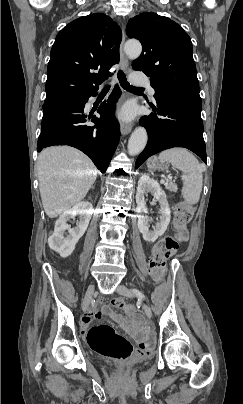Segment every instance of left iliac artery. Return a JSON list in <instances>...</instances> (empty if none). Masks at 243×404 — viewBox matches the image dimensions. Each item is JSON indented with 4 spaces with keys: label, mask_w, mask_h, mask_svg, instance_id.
I'll return each mask as SVG.
<instances>
[{
    "label": "left iliac artery",
    "mask_w": 243,
    "mask_h": 404,
    "mask_svg": "<svg viewBox=\"0 0 243 404\" xmlns=\"http://www.w3.org/2000/svg\"><path fill=\"white\" fill-rule=\"evenodd\" d=\"M133 292L136 294V296H137L139 299H145V296H144V294H143L141 291H139V290H137V289H133Z\"/></svg>",
    "instance_id": "obj_1"
}]
</instances>
